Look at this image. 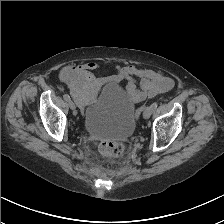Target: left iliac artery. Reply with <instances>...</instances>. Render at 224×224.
I'll return each instance as SVG.
<instances>
[{"label":"left iliac artery","instance_id":"44dca946","mask_svg":"<svg viewBox=\"0 0 224 224\" xmlns=\"http://www.w3.org/2000/svg\"><path fill=\"white\" fill-rule=\"evenodd\" d=\"M157 106H158V103L157 102L152 103L151 104L152 110L154 111L157 108Z\"/></svg>","mask_w":224,"mask_h":224}]
</instances>
